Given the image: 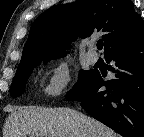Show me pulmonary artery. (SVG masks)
<instances>
[{
	"instance_id": "1",
	"label": "pulmonary artery",
	"mask_w": 144,
	"mask_h": 137,
	"mask_svg": "<svg viewBox=\"0 0 144 137\" xmlns=\"http://www.w3.org/2000/svg\"><path fill=\"white\" fill-rule=\"evenodd\" d=\"M94 46H95L94 42H89V48L91 49V51H89L86 54L88 61L92 64L96 63L98 61V54L92 50L94 48Z\"/></svg>"
}]
</instances>
